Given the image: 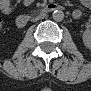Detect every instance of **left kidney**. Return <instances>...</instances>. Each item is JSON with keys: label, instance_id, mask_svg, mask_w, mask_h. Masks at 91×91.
Listing matches in <instances>:
<instances>
[{"label": "left kidney", "instance_id": "obj_1", "mask_svg": "<svg viewBox=\"0 0 91 91\" xmlns=\"http://www.w3.org/2000/svg\"><path fill=\"white\" fill-rule=\"evenodd\" d=\"M83 43L86 48L91 47V32L89 30H86L83 34Z\"/></svg>", "mask_w": 91, "mask_h": 91}]
</instances>
